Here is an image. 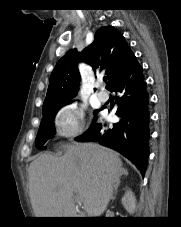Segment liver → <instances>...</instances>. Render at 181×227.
<instances>
[{"label": "liver", "mask_w": 181, "mask_h": 227, "mask_svg": "<svg viewBox=\"0 0 181 227\" xmlns=\"http://www.w3.org/2000/svg\"><path fill=\"white\" fill-rule=\"evenodd\" d=\"M65 154L37 156L29 166V195L36 217H75L81 200L87 215H101L122 175L119 155L95 143L74 142Z\"/></svg>", "instance_id": "6515ba94"}]
</instances>
